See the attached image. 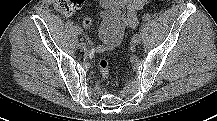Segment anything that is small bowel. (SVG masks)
Returning a JSON list of instances; mask_svg holds the SVG:
<instances>
[{
    "instance_id": "1",
    "label": "small bowel",
    "mask_w": 217,
    "mask_h": 121,
    "mask_svg": "<svg viewBox=\"0 0 217 121\" xmlns=\"http://www.w3.org/2000/svg\"><path fill=\"white\" fill-rule=\"evenodd\" d=\"M148 2L149 0H99L102 8L99 35L102 42L96 50L105 52L118 46L124 30L138 26L137 11Z\"/></svg>"
}]
</instances>
